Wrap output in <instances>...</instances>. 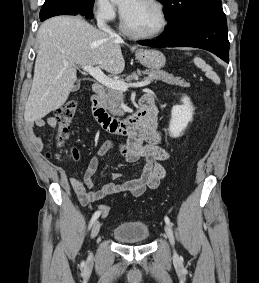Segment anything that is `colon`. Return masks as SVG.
Returning <instances> with one entry per match:
<instances>
[{"label": "colon", "mask_w": 259, "mask_h": 283, "mask_svg": "<svg viewBox=\"0 0 259 283\" xmlns=\"http://www.w3.org/2000/svg\"><path fill=\"white\" fill-rule=\"evenodd\" d=\"M78 111V102L76 99H69L66 101L56 112L55 120L57 123V139L59 143H63L70 136V129L72 126L73 119ZM74 155L77 153L74 151ZM110 212L108 205H102L100 207V214L103 217L107 216Z\"/></svg>", "instance_id": "colon-1"}]
</instances>
